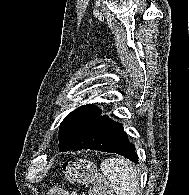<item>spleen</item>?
<instances>
[{
    "mask_svg": "<svg viewBox=\"0 0 189 195\" xmlns=\"http://www.w3.org/2000/svg\"><path fill=\"white\" fill-rule=\"evenodd\" d=\"M100 167L115 195H137L139 174L128 160L111 157L104 160Z\"/></svg>",
    "mask_w": 189,
    "mask_h": 195,
    "instance_id": "1",
    "label": "spleen"
}]
</instances>
